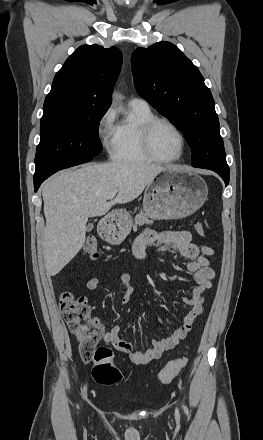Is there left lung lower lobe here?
I'll return each mask as SVG.
<instances>
[{"instance_id": "0a47b994", "label": "left lung lower lobe", "mask_w": 263, "mask_h": 440, "mask_svg": "<svg viewBox=\"0 0 263 440\" xmlns=\"http://www.w3.org/2000/svg\"><path fill=\"white\" fill-rule=\"evenodd\" d=\"M215 171L217 174H219L221 176V178L224 180L225 185L227 186L229 183V170L228 171H220L217 169H210Z\"/></svg>"}]
</instances>
